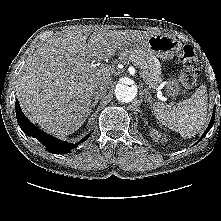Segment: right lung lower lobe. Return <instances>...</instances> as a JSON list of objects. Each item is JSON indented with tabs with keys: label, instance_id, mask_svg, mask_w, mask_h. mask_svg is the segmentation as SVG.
Instances as JSON below:
<instances>
[{
	"label": "right lung lower lobe",
	"instance_id": "98d812e1",
	"mask_svg": "<svg viewBox=\"0 0 221 221\" xmlns=\"http://www.w3.org/2000/svg\"><path fill=\"white\" fill-rule=\"evenodd\" d=\"M16 117L17 122L20 128L28 135L33 138H36L40 141L48 152L53 154H66L69 153L72 149L78 146L79 143L86 141L90 134L84 137L79 143L71 144L67 142H63L55 137H52L41 130H39L35 125H33L27 117L23 114L18 101L16 102Z\"/></svg>",
	"mask_w": 221,
	"mask_h": 221
}]
</instances>
